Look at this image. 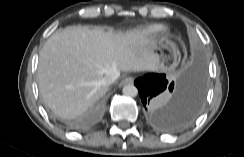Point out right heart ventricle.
<instances>
[{
    "mask_svg": "<svg viewBox=\"0 0 244 157\" xmlns=\"http://www.w3.org/2000/svg\"><path fill=\"white\" fill-rule=\"evenodd\" d=\"M160 27L159 26H151L148 29L145 30V32H150V31H156L158 30Z\"/></svg>",
    "mask_w": 244,
    "mask_h": 157,
    "instance_id": "1",
    "label": "right heart ventricle"
}]
</instances>
